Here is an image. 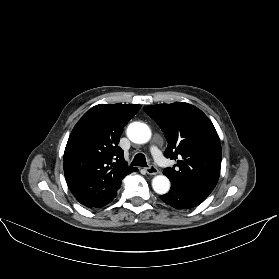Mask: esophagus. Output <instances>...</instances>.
I'll list each match as a JSON object with an SVG mask.
<instances>
[{"mask_svg":"<svg viewBox=\"0 0 279 279\" xmlns=\"http://www.w3.org/2000/svg\"><path fill=\"white\" fill-rule=\"evenodd\" d=\"M145 171L149 175H156L159 173V170L154 165H150V166L146 167Z\"/></svg>","mask_w":279,"mask_h":279,"instance_id":"1","label":"esophagus"}]
</instances>
